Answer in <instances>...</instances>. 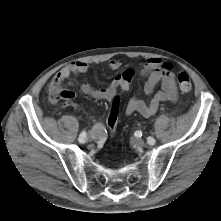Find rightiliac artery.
<instances>
[{"mask_svg":"<svg viewBox=\"0 0 221 221\" xmlns=\"http://www.w3.org/2000/svg\"><path fill=\"white\" fill-rule=\"evenodd\" d=\"M86 132L85 131H83L80 135H79V138H78V140H79V142L80 143H84L85 141H86Z\"/></svg>","mask_w":221,"mask_h":221,"instance_id":"obj_1","label":"right iliac artery"}]
</instances>
